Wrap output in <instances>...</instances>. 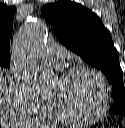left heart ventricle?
Wrapping results in <instances>:
<instances>
[{"label": "left heart ventricle", "instance_id": "obj_1", "mask_svg": "<svg viewBox=\"0 0 125 128\" xmlns=\"http://www.w3.org/2000/svg\"><path fill=\"white\" fill-rule=\"evenodd\" d=\"M50 94L57 96L69 110L81 114L98 111L104 102L100 80L87 71L78 72L64 81L58 77Z\"/></svg>", "mask_w": 125, "mask_h": 128}]
</instances>
